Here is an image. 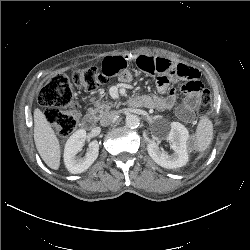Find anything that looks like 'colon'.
<instances>
[{"mask_svg": "<svg viewBox=\"0 0 250 250\" xmlns=\"http://www.w3.org/2000/svg\"><path fill=\"white\" fill-rule=\"evenodd\" d=\"M102 70L95 67L75 71L70 79L66 74L52 77L39 95V103L46 108L48 121L62 136L71 134L77 126L79 111L74 99L73 84L85 91L92 92L108 79ZM213 108L212 97L208 90L202 89L198 98V113L210 114Z\"/></svg>", "mask_w": 250, "mask_h": 250, "instance_id": "obj_1", "label": "colon"}]
</instances>
